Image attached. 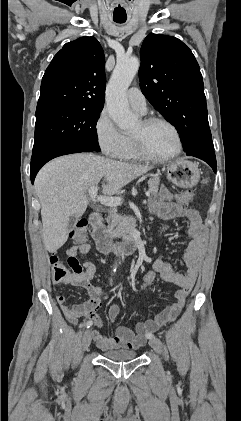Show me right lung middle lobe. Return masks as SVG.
Wrapping results in <instances>:
<instances>
[{"label":"right lung middle lobe","instance_id":"right-lung-middle-lobe-1","mask_svg":"<svg viewBox=\"0 0 241 421\" xmlns=\"http://www.w3.org/2000/svg\"><path fill=\"white\" fill-rule=\"evenodd\" d=\"M102 109L49 107L36 110L32 154L48 149L81 145L100 151L96 124Z\"/></svg>","mask_w":241,"mask_h":421}]
</instances>
